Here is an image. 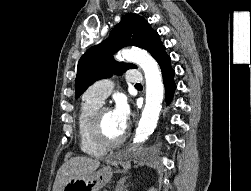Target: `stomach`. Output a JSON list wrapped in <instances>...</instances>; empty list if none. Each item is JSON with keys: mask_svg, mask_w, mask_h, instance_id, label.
I'll list each match as a JSON object with an SVG mask.
<instances>
[{"mask_svg": "<svg viewBox=\"0 0 251 191\" xmlns=\"http://www.w3.org/2000/svg\"><path fill=\"white\" fill-rule=\"evenodd\" d=\"M119 159H122V155H115V157H111V159H106V163H109V165H105L102 169L94 171L86 181H83V179H69V181H66L63 191H99L112 177L113 171L110 165L120 163L123 167V169H121L122 173L127 171L128 163L119 161Z\"/></svg>", "mask_w": 251, "mask_h": 191, "instance_id": "stomach-1", "label": "stomach"}]
</instances>
